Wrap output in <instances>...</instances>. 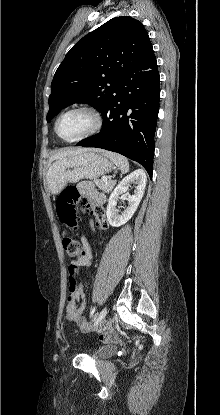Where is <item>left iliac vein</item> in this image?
Here are the masks:
<instances>
[{"label": "left iliac vein", "mask_w": 220, "mask_h": 415, "mask_svg": "<svg viewBox=\"0 0 220 415\" xmlns=\"http://www.w3.org/2000/svg\"><path fill=\"white\" fill-rule=\"evenodd\" d=\"M103 310H105L106 311V314H107V307H105ZM106 316V315H105ZM105 316L100 320V321H98V319H99V316L95 319V321H94V324L92 325V327H97L102 321H103V319L105 318Z\"/></svg>", "instance_id": "obj_1"}]
</instances>
